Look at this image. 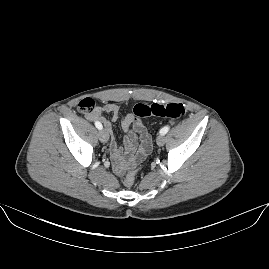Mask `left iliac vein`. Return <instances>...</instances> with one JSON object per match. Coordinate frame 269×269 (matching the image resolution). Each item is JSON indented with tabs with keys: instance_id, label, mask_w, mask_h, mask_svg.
<instances>
[{
	"instance_id": "1",
	"label": "left iliac vein",
	"mask_w": 269,
	"mask_h": 269,
	"mask_svg": "<svg viewBox=\"0 0 269 269\" xmlns=\"http://www.w3.org/2000/svg\"><path fill=\"white\" fill-rule=\"evenodd\" d=\"M156 141H157V144H158L159 146H162V145L165 143V136L162 135V134H160V135L157 137Z\"/></svg>"
}]
</instances>
